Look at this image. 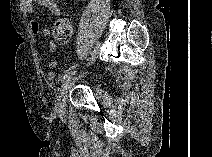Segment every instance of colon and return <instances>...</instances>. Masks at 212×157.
Here are the masks:
<instances>
[{
  "instance_id": "1",
  "label": "colon",
  "mask_w": 212,
  "mask_h": 157,
  "mask_svg": "<svg viewBox=\"0 0 212 157\" xmlns=\"http://www.w3.org/2000/svg\"><path fill=\"white\" fill-rule=\"evenodd\" d=\"M53 34L59 43L68 42L73 35V25L70 19L62 18L53 25Z\"/></svg>"
}]
</instances>
